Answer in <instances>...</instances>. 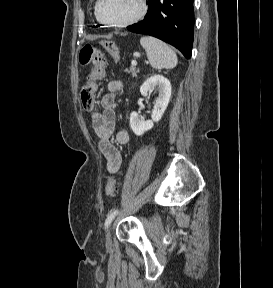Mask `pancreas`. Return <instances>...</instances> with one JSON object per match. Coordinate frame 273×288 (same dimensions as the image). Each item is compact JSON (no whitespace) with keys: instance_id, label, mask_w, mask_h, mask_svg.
I'll use <instances>...</instances> for the list:
<instances>
[{"instance_id":"pancreas-1","label":"pancreas","mask_w":273,"mask_h":288,"mask_svg":"<svg viewBox=\"0 0 273 288\" xmlns=\"http://www.w3.org/2000/svg\"><path fill=\"white\" fill-rule=\"evenodd\" d=\"M126 72L131 73L132 77H136L137 76V72L138 69H136V67L131 66L129 69L126 70Z\"/></svg>"}]
</instances>
